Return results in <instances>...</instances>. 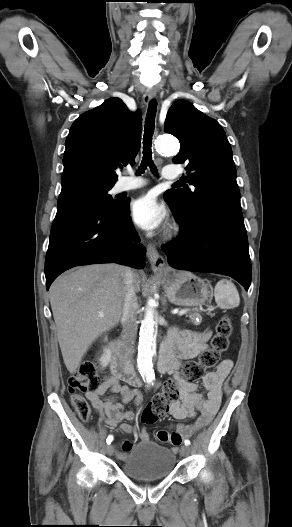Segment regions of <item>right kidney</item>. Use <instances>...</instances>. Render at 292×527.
Wrapping results in <instances>:
<instances>
[{
  "instance_id": "right-kidney-1",
  "label": "right kidney",
  "mask_w": 292,
  "mask_h": 527,
  "mask_svg": "<svg viewBox=\"0 0 292 527\" xmlns=\"http://www.w3.org/2000/svg\"><path fill=\"white\" fill-rule=\"evenodd\" d=\"M109 360H110V352L106 351L100 360L102 366L105 367L109 363Z\"/></svg>"
}]
</instances>
